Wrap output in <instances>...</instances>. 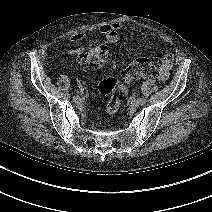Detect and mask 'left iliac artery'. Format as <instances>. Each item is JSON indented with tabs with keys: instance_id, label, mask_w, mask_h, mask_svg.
I'll return each instance as SVG.
<instances>
[{
	"instance_id": "1",
	"label": "left iliac artery",
	"mask_w": 212,
	"mask_h": 212,
	"mask_svg": "<svg viewBox=\"0 0 212 212\" xmlns=\"http://www.w3.org/2000/svg\"><path fill=\"white\" fill-rule=\"evenodd\" d=\"M138 100H139V103H140V105H141V106L146 105V101H145V99H143V98H139Z\"/></svg>"
}]
</instances>
